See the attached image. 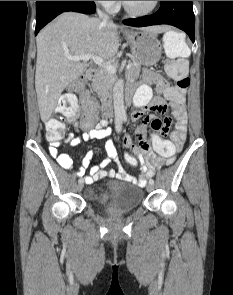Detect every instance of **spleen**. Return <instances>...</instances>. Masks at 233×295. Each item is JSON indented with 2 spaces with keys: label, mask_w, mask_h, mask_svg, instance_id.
Listing matches in <instances>:
<instances>
[{
  "label": "spleen",
  "mask_w": 233,
  "mask_h": 295,
  "mask_svg": "<svg viewBox=\"0 0 233 295\" xmlns=\"http://www.w3.org/2000/svg\"><path fill=\"white\" fill-rule=\"evenodd\" d=\"M164 50L168 57L183 56L188 57L191 53L184 41L178 39L173 32H168L164 36Z\"/></svg>",
  "instance_id": "3e777b00"
}]
</instances>
